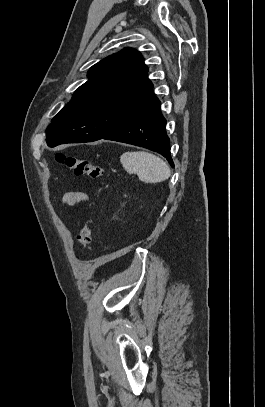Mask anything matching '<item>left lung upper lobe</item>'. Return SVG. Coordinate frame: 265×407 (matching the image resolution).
I'll return each mask as SVG.
<instances>
[{
    "label": "left lung upper lobe",
    "mask_w": 265,
    "mask_h": 407,
    "mask_svg": "<svg viewBox=\"0 0 265 407\" xmlns=\"http://www.w3.org/2000/svg\"><path fill=\"white\" fill-rule=\"evenodd\" d=\"M147 72L142 55L130 48L93 65L88 81L52 119L46 130L47 145L102 139L152 108L159 100Z\"/></svg>",
    "instance_id": "left-lung-upper-lobe-1"
}]
</instances>
